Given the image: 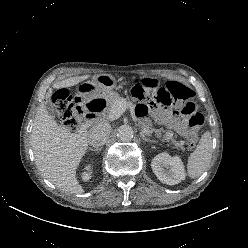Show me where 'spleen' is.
Instances as JSON below:
<instances>
[{
  "instance_id": "3e777b00",
  "label": "spleen",
  "mask_w": 248,
  "mask_h": 248,
  "mask_svg": "<svg viewBox=\"0 0 248 248\" xmlns=\"http://www.w3.org/2000/svg\"><path fill=\"white\" fill-rule=\"evenodd\" d=\"M212 137L205 132L196 149L188 158L187 172L192 179L199 177L210 165L212 158Z\"/></svg>"
}]
</instances>
